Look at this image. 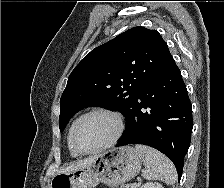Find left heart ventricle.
<instances>
[{
	"label": "left heart ventricle",
	"mask_w": 224,
	"mask_h": 188,
	"mask_svg": "<svg viewBox=\"0 0 224 188\" xmlns=\"http://www.w3.org/2000/svg\"><path fill=\"white\" fill-rule=\"evenodd\" d=\"M116 131L112 117L106 114H93L87 117L79 126L76 143L82 150H91L108 142Z\"/></svg>",
	"instance_id": "left-heart-ventricle-1"
}]
</instances>
